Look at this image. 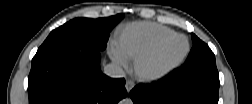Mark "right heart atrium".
<instances>
[{
    "label": "right heart atrium",
    "instance_id": "right-heart-atrium-1",
    "mask_svg": "<svg viewBox=\"0 0 252 104\" xmlns=\"http://www.w3.org/2000/svg\"><path fill=\"white\" fill-rule=\"evenodd\" d=\"M110 56L113 62L121 68L128 67V60L123 57L120 52L118 51L116 45H111L109 49Z\"/></svg>",
    "mask_w": 252,
    "mask_h": 104
}]
</instances>
